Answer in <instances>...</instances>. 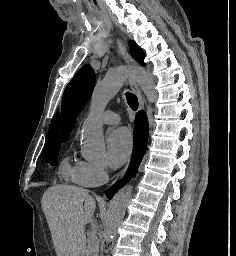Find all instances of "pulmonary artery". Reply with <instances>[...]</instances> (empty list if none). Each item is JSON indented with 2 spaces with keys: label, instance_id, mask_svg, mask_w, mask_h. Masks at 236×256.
Wrapping results in <instances>:
<instances>
[{
  "label": "pulmonary artery",
  "instance_id": "pulmonary-artery-1",
  "mask_svg": "<svg viewBox=\"0 0 236 256\" xmlns=\"http://www.w3.org/2000/svg\"><path fill=\"white\" fill-rule=\"evenodd\" d=\"M100 119L104 124H108V125H115V124H118L120 121L119 114L112 110L104 111L101 114Z\"/></svg>",
  "mask_w": 236,
  "mask_h": 256
}]
</instances>
